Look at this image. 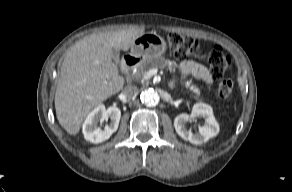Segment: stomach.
Masks as SVG:
<instances>
[{
    "instance_id": "stomach-1",
    "label": "stomach",
    "mask_w": 292,
    "mask_h": 192,
    "mask_svg": "<svg viewBox=\"0 0 292 192\" xmlns=\"http://www.w3.org/2000/svg\"><path fill=\"white\" fill-rule=\"evenodd\" d=\"M166 43L156 33H145L139 36L131 47V55L143 61H151L165 53Z\"/></svg>"
}]
</instances>
